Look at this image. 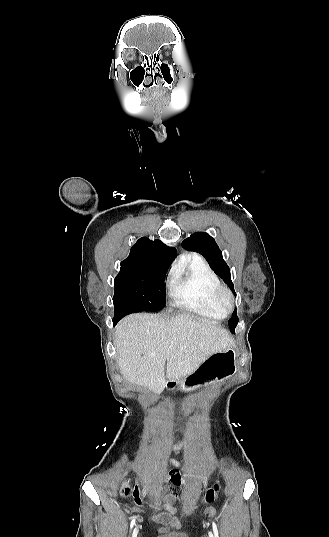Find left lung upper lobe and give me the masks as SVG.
<instances>
[{
	"mask_svg": "<svg viewBox=\"0 0 329 537\" xmlns=\"http://www.w3.org/2000/svg\"><path fill=\"white\" fill-rule=\"evenodd\" d=\"M182 246L188 251H195L200 253L208 261L211 269L219 275L234 291V285L230 277V269L226 262L223 260L222 252L216 244L213 237L205 232L193 233L189 238L182 242ZM238 323L237 310L234 311L231 319L228 321L230 330L234 332Z\"/></svg>",
	"mask_w": 329,
	"mask_h": 537,
	"instance_id": "1",
	"label": "left lung upper lobe"
}]
</instances>
